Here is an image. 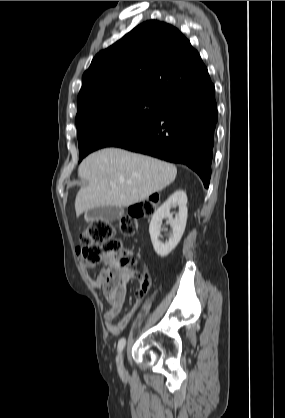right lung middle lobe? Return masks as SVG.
Instances as JSON below:
<instances>
[{
  "mask_svg": "<svg viewBox=\"0 0 285 418\" xmlns=\"http://www.w3.org/2000/svg\"><path fill=\"white\" fill-rule=\"evenodd\" d=\"M160 106L148 101L120 104L77 122L80 161L95 150L116 146L139 133L159 115Z\"/></svg>",
  "mask_w": 285,
  "mask_h": 418,
  "instance_id": "dd1d6c3e",
  "label": "right lung middle lobe"
}]
</instances>
